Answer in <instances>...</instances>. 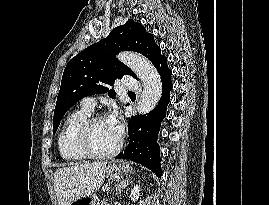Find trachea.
<instances>
[{"label":"trachea","mask_w":269,"mask_h":205,"mask_svg":"<svg viewBox=\"0 0 269 205\" xmlns=\"http://www.w3.org/2000/svg\"><path fill=\"white\" fill-rule=\"evenodd\" d=\"M128 94H135L134 92L129 91Z\"/></svg>","instance_id":"1"}]
</instances>
